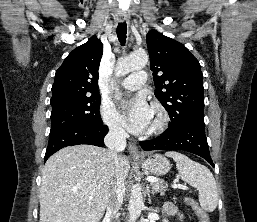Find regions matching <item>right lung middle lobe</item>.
<instances>
[{
    "instance_id": "1",
    "label": "right lung middle lobe",
    "mask_w": 257,
    "mask_h": 222,
    "mask_svg": "<svg viewBox=\"0 0 257 222\" xmlns=\"http://www.w3.org/2000/svg\"><path fill=\"white\" fill-rule=\"evenodd\" d=\"M100 102V95L51 100L50 132L69 126H102L103 122L99 113Z\"/></svg>"
}]
</instances>
